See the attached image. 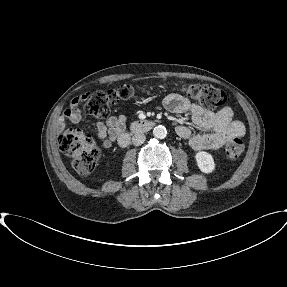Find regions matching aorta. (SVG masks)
Instances as JSON below:
<instances>
[{
    "label": "aorta",
    "instance_id": "obj_1",
    "mask_svg": "<svg viewBox=\"0 0 287 287\" xmlns=\"http://www.w3.org/2000/svg\"><path fill=\"white\" fill-rule=\"evenodd\" d=\"M166 135L167 129L162 125H158L153 129V136L157 139H164Z\"/></svg>",
    "mask_w": 287,
    "mask_h": 287
}]
</instances>
